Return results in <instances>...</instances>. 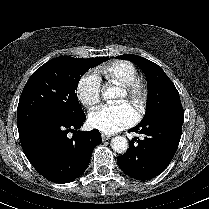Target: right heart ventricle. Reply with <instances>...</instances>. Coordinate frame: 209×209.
Segmentation results:
<instances>
[{
    "mask_svg": "<svg viewBox=\"0 0 209 209\" xmlns=\"http://www.w3.org/2000/svg\"><path fill=\"white\" fill-rule=\"evenodd\" d=\"M98 73L109 82L119 86L128 84L138 75L134 64L125 60L114 61L98 69Z\"/></svg>",
    "mask_w": 209,
    "mask_h": 209,
    "instance_id": "1",
    "label": "right heart ventricle"
}]
</instances>
